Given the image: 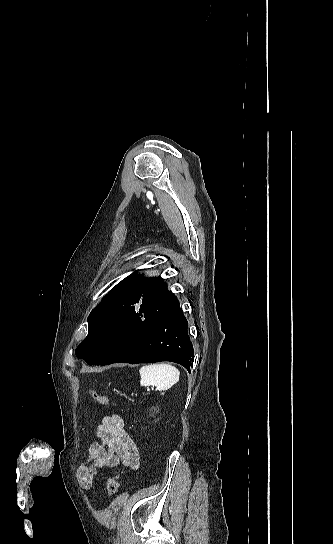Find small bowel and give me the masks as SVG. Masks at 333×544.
<instances>
[{
  "mask_svg": "<svg viewBox=\"0 0 333 544\" xmlns=\"http://www.w3.org/2000/svg\"><path fill=\"white\" fill-rule=\"evenodd\" d=\"M96 437L97 440L89 446L87 458L76 473L84 489L93 485L101 468H114L123 464L136 469L139 465L138 449L120 416L101 418L96 427Z\"/></svg>",
  "mask_w": 333,
  "mask_h": 544,
  "instance_id": "small-bowel-1",
  "label": "small bowel"
}]
</instances>
